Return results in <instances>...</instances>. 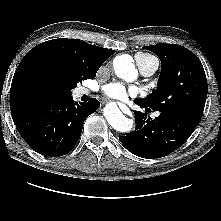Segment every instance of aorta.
I'll list each match as a JSON object with an SVG mask.
<instances>
[{"label":"aorta","instance_id":"aorta-1","mask_svg":"<svg viewBox=\"0 0 221 221\" xmlns=\"http://www.w3.org/2000/svg\"><path fill=\"white\" fill-rule=\"evenodd\" d=\"M115 73L118 77L132 82L136 76L137 71L131 59L120 56L114 61ZM104 116L108 123L119 132H129L133 128V121L126 118L116 104H109L104 108Z\"/></svg>","mask_w":221,"mask_h":221}]
</instances>
